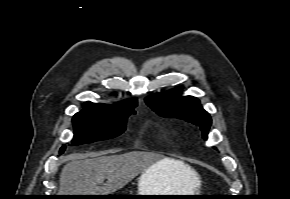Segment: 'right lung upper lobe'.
Here are the masks:
<instances>
[{"instance_id": "1", "label": "right lung upper lobe", "mask_w": 290, "mask_h": 199, "mask_svg": "<svg viewBox=\"0 0 290 199\" xmlns=\"http://www.w3.org/2000/svg\"><path fill=\"white\" fill-rule=\"evenodd\" d=\"M136 106V99H127L123 102H119L116 105L109 104H95L92 102H86L84 109L79 113L94 114V115H119V114H131L134 113V107Z\"/></svg>"}]
</instances>
